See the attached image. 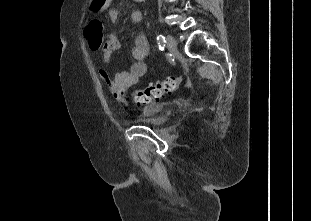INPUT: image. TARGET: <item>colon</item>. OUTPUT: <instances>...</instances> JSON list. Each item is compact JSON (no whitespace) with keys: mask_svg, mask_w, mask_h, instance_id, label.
Instances as JSON below:
<instances>
[{"mask_svg":"<svg viewBox=\"0 0 311 221\" xmlns=\"http://www.w3.org/2000/svg\"><path fill=\"white\" fill-rule=\"evenodd\" d=\"M87 36L90 48L98 50L104 36V25L99 18H94L87 24ZM182 83L181 76H169L156 84L135 89L128 94L130 100L138 104L152 105L166 95L174 93Z\"/></svg>","mask_w":311,"mask_h":221,"instance_id":"colon-1","label":"colon"}]
</instances>
